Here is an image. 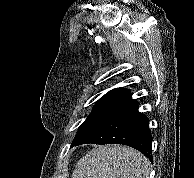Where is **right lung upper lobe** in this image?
I'll use <instances>...</instances> for the list:
<instances>
[{"label": "right lung upper lobe", "instance_id": "right-lung-upper-lobe-1", "mask_svg": "<svg viewBox=\"0 0 194 178\" xmlns=\"http://www.w3.org/2000/svg\"><path fill=\"white\" fill-rule=\"evenodd\" d=\"M100 100L120 102L122 104H127L134 101V99L131 98V93L129 92V90L123 88H116L109 91Z\"/></svg>", "mask_w": 194, "mask_h": 178}]
</instances>
